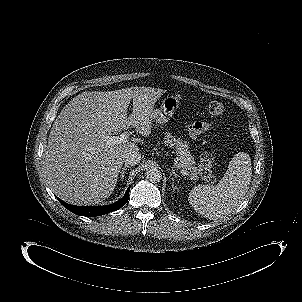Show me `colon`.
Listing matches in <instances>:
<instances>
[{"label": "colon", "mask_w": 302, "mask_h": 302, "mask_svg": "<svg viewBox=\"0 0 302 302\" xmlns=\"http://www.w3.org/2000/svg\"><path fill=\"white\" fill-rule=\"evenodd\" d=\"M208 111L212 116H223L225 107L221 102L213 101L208 106ZM214 163V155L211 152H204L199 161V173L203 179L212 182L214 180L212 167Z\"/></svg>", "instance_id": "1"}]
</instances>
